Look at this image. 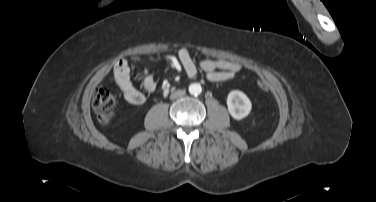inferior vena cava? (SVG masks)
Segmentation results:
<instances>
[{"label":"inferior vena cava","mask_w":376,"mask_h":202,"mask_svg":"<svg viewBox=\"0 0 376 202\" xmlns=\"http://www.w3.org/2000/svg\"><path fill=\"white\" fill-rule=\"evenodd\" d=\"M183 95H185V91L178 90L171 95V99H176V98L182 97Z\"/></svg>","instance_id":"1"}]
</instances>
